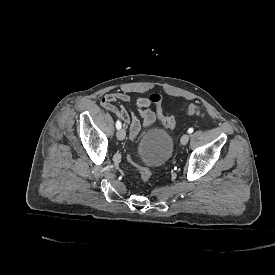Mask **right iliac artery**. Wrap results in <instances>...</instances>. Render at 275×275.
I'll list each match as a JSON object with an SVG mask.
<instances>
[{
    "label": "right iliac artery",
    "instance_id": "82829eb1",
    "mask_svg": "<svg viewBox=\"0 0 275 275\" xmlns=\"http://www.w3.org/2000/svg\"><path fill=\"white\" fill-rule=\"evenodd\" d=\"M116 128L119 130L121 128V122L120 121H117L116 122Z\"/></svg>",
    "mask_w": 275,
    "mask_h": 275
}]
</instances>
